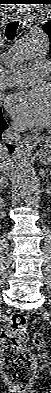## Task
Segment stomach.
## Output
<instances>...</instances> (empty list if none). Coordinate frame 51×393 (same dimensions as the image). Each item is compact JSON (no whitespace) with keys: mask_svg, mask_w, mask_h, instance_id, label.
<instances>
[{"mask_svg":"<svg viewBox=\"0 0 51 393\" xmlns=\"http://www.w3.org/2000/svg\"><path fill=\"white\" fill-rule=\"evenodd\" d=\"M39 160L42 164L51 166V144L50 142L42 147L38 154Z\"/></svg>","mask_w":51,"mask_h":393,"instance_id":"stomach-1","label":"stomach"}]
</instances>
